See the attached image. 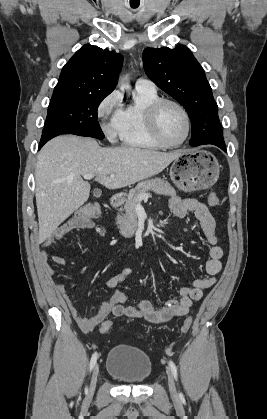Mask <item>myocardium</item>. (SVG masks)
I'll return each mask as SVG.
<instances>
[{
    "label": "myocardium",
    "instance_id": "1",
    "mask_svg": "<svg viewBox=\"0 0 267 419\" xmlns=\"http://www.w3.org/2000/svg\"><path fill=\"white\" fill-rule=\"evenodd\" d=\"M170 104L175 106L176 108H178L180 110V112L182 113L184 120H185V125H186V131H185V135L184 137L177 143H169L167 142L161 135L160 130H159V113L161 111V109L163 108V106ZM146 123H147V127L149 130L150 135L152 136V138L162 147L165 148H176L179 147L181 145H183L186 140L188 139L189 135H190V131H191V120H190V116L188 111L186 110V108L179 103L176 100L173 99H168V98H159L158 100H156L155 102H153L147 109L146 112Z\"/></svg>",
    "mask_w": 267,
    "mask_h": 419
}]
</instances>
